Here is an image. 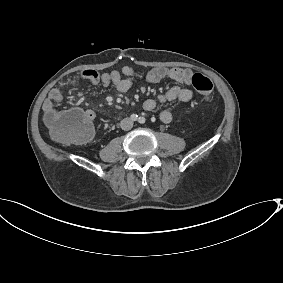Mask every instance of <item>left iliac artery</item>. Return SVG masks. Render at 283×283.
<instances>
[{"label": "left iliac artery", "mask_w": 283, "mask_h": 283, "mask_svg": "<svg viewBox=\"0 0 283 283\" xmlns=\"http://www.w3.org/2000/svg\"><path fill=\"white\" fill-rule=\"evenodd\" d=\"M138 122L142 124L145 122V119L143 117H139Z\"/></svg>", "instance_id": "obj_1"}]
</instances>
